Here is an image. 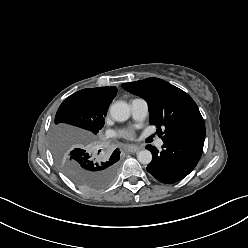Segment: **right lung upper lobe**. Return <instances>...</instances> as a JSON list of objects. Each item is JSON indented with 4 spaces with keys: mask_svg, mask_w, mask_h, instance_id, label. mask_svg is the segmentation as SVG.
Wrapping results in <instances>:
<instances>
[{
    "mask_svg": "<svg viewBox=\"0 0 248 248\" xmlns=\"http://www.w3.org/2000/svg\"><path fill=\"white\" fill-rule=\"evenodd\" d=\"M88 99H90L94 106L108 110V107L117 94V88L99 87L87 88L82 90Z\"/></svg>",
    "mask_w": 248,
    "mask_h": 248,
    "instance_id": "obj_1",
    "label": "right lung upper lobe"
}]
</instances>
